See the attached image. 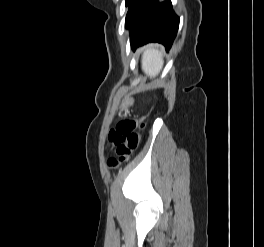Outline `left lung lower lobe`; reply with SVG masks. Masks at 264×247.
Returning a JSON list of instances; mask_svg holds the SVG:
<instances>
[{
  "label": "left lung lower lobe",
  "instance_id": "1",
  "mask_svg": "<svg viewBox=\"0 0 264 247\" xmlns=\"http://www.w3.org/2000/svg\"><path fill=\"white\" fill-rule=\"evenodd\" d=\"M179 27V18L170 0H146L134 19L126 26L130 29L133 50L148 42L162 43L167 50L172 46Z\"/></svg>",
  "mask_w": 264,
  "mask_h": 247
}]
</instances>
